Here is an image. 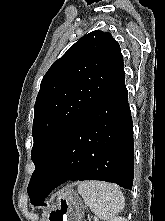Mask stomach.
Instances as JSON below:
<instances>
[{
	"mask_svg": "<svg viewBox=\"0 0 165 221\" xmlns=\"http://www.w3.org/2000/svg\"><path fill=\"white\" fill-rule=\"evenodd\" d=\"M83 205L78 196L70 189L61 192L57 198V204L48 208L49 217L47 221H81Z\"/></svg>",
	"mask_w": 165,
	"mask_h": 221,
	"instance_id": "stomach-1",
	"label": "stomach"
}]
</instances>
